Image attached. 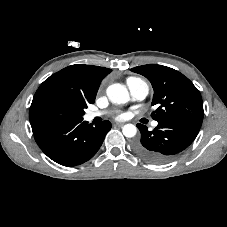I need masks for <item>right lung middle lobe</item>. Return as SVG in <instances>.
I'll return each mask as SVG.
<instances>
[{"instance_id": "right-lung-middle-lobe-1", "label": "right lung middle lobe", "mask_w": 227, "mask_h": 227, "mask_svg": "<svg viewBox=\"0 0 227 227\" xmlns=\"http://www.w3.org/2000/svg\"><path fill=\"white\" fill-rule=\"evenodd\" d=\"M87 102L53 84H41L30 106L32 130L45 129L83 119Z\"/></svg>"}]
</instances>
